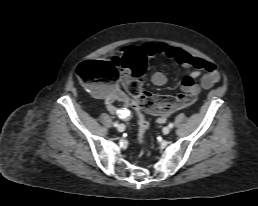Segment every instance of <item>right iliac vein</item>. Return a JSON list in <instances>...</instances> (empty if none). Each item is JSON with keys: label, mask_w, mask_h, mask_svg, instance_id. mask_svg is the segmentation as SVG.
Here are the masks:
<instances>
[{"label": "right iliac vein", "mask_w": 258, "mask_h": 206, "mask_svg": "<svg viewBox=\"0 0 258 206\" xmlns=\"http://www.w3.org/2000/svg\"><path fill=\"white\" fill-rule=\"evenodd\" d=\"M117 130L119 132H123L125 130V126L123 124L118 125Z\"/></svg>", "instance_id": "right-iliac-vein-1"}]
</instances>
